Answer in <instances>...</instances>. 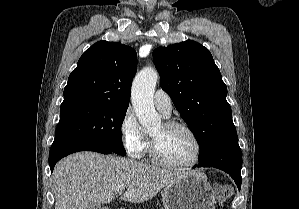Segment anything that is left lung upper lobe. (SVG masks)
Returning a JSON list of instances; mask_svg holds the SVG:
<instances>
[{"instance_id":"left-lung-upper-lobe-1","label":"left lung upper lobe","mask_w":299,"mask_h":209,"mask_svg":"<svg viewBox=\"0 0 299 209\" xmlns=\"http://www.w3.org/2000/svg\"><path fill=\"white\" fill-rule=\"evenodd\" d=\"M153 59L162 89L199 144L201 162L222 139L237 133L221 73L209 50L192 40L159 47Z\"/></svg>"}]
</instances>
